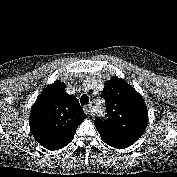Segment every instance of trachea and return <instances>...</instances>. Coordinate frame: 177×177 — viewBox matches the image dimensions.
I'll use <instances>...</instances> for the list:
<instances>
[{
	"mask_svg": "<svg viewBox=\"0 0 177 177\" xmlns=\"http://www.w3.org/2000/svg\"><path fill=\"white\" fill-rule=\"evenodd\" d=\"M89 102V97L86 94H83L80 98L81 105H86Z\"/></svg>",
	"mask_w": 177,
	"mask_h": 177,
	"instance_id": "obj_1",
	"label": "trachea"
}]
</instances>
